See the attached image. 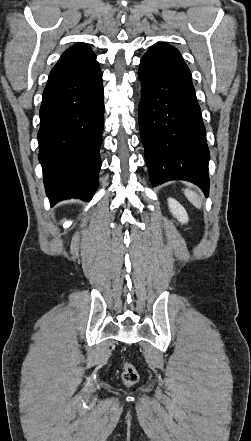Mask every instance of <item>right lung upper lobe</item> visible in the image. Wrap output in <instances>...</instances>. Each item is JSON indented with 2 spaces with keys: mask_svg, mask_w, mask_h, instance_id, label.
Listing matches in <instances>:
<instances>
[{
  "mask_svg": "<svg viewBox=\"0 0 251 441\" xmlns=\"http://www.w3.org/2000/svg\"><path fill=\"white\" fill-rule=\"evenodd\" d=\"M97 65L96 55L87 44L74 45L62 54L51 73L79 72Z\"/></svg>",
  "mask_w": 251,
  "mask_h": 441,
  "instance_id": "right-lung-upper-lobe-1",
  "label": "right lung upper lobe"
}]
</instances>
